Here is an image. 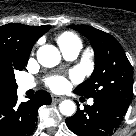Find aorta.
Wrapping results in <instances>:
<instances>
[{
  "instance_id": "1",
  "label": "aorta",
  "mask_w": 136,
  "mask_h": 136,
  "mask_svg": "<svg viewBox=\"0 0 136 136\" xmlns=\"http://www.w3.org/2000/svg\"><path fill=\"white\" fill-rule=\"evenodd\" d=\"M37 60L44 67H54L59 64L61 55L53 45H43L37 51ZM60 112L65 116H72L75 113L76 105L71 100H64L59 105Z\"/></svg>"
}]
</instances>
